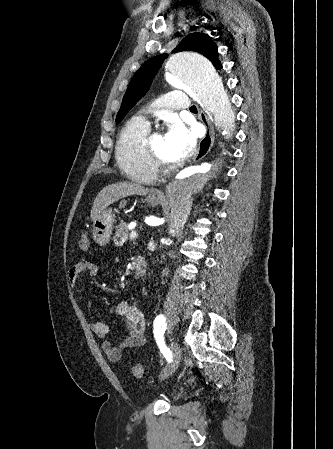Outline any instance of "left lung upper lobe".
Here are the masks:
<instances>
[{
    "label": "left lung upper lobe",
    "instance_id": "5c2ea615",
    "mask_svg": "<svg viewBox=\"0 0 333 449\" xmlns=\"http://www.w3.org/2000/svg\"><path fill=\"white\" fill-rule=\"evenodd\" d=\"M180 51L198 52L212 61L217 69L222 68L218 60V48L208 34L199 32L188 34L173 50V52ZM166 57L167 54H162L149 59L134 74L123 97L121 108L116 117V123H119L135 103L147 92L154 76Z\"/></svg>",
    "mask_w": 333,
    "mask_h": 449
}]
</instances>
